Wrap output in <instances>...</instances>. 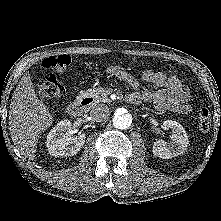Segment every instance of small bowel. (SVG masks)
Returning a JSON list of instances; mask_svg holds the SVG:
<instances>
[{"instance_id": "small-bowel-1", "label": "small bowel", "mask_w": 221, "mask_h": 221, "mask_svg": "<svg viewBox=\"0 0 221 221\" xmlns=\"http://www.w3.org/2000/svg\"><path fill=\"white\" fill-rule=\"evenodd\" d=\"M106 74L115 76L129 84L133 92L128 96L129 102L139 104L142 101L150 102L160 112L172 111L179 114H188L191 111L189 105V90L175 76H166L162 72L145 70L142 72L143 80L160 87L157 90L146 89L139 91L138 81L124 68L110 66Z\"/></svg>"}]
</instances>
